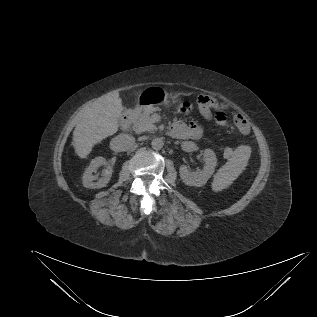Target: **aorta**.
Returning <instances> with one entry per match:
<instances>
[{"mask_svg": "<svg viewBox=\"0 0 317 317\" xmlns=\"http://www.w3.org/2000/svg\"><path fill=\"white\" fill-rule=\"evenodd\" d=\"M151 146L155 150H160L164 146V142L161 138H154L151 142Z\"/></svg>", "mask_w": 317, "mask_h": 317, "instance_id": "1", "label": "aorta"}]
</instances>
